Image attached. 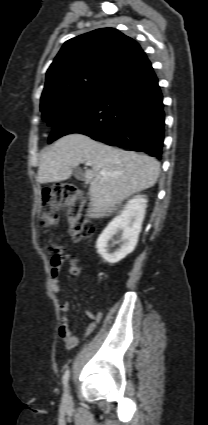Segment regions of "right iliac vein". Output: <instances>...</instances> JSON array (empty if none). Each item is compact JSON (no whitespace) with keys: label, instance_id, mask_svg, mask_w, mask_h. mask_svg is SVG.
Listing matches in <instances>:
<instances>
[{"label":"right iliac vein","instance_id":"63e3f726","mask_svg":"<svg viewBox=\"0 0 208 425\" xmlns=\"http://www.w3.org/2000/svg\"><path fill=\"white\" fill-rule=\"evenodd\" d=\"M70 402H71V398H70L68 390H66L64 395H63V404L65 406H68L70 404Z\"/></svg>","mask_w":208,"mask_h":425}]
</instances>
